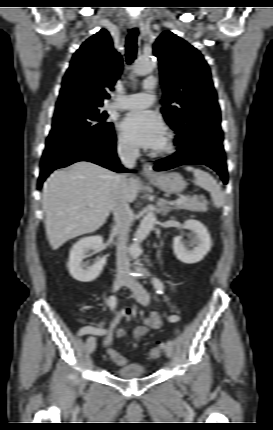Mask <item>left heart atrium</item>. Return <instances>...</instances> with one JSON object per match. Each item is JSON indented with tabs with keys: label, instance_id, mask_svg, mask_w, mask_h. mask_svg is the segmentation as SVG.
<instances>
[{
	"label": "left heart atrium",
	"instance_id": "obj_1",
	"mask_svg": "<svg viewBox=\"0 0 273 430\" xmlns=\"http://www.w3.org/2000/svg\"><path fill=\"white\" fill-rule=\"evenodd\" d=\"M125 139L138 147L158 150L166 140V130L161 118L152 111L128 113L120 123Z\"/></svg>",
	"mask_w": 273,
	"mask_h": 430
}]
</instances>
